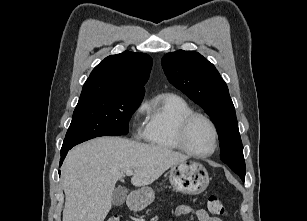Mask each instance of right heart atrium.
Masks as SVG:
<instances>
[{"label": "right heart atrium", "mask_w": 307, "mask_h": 221, "mask_svg": "<svg viewBox=\"0 0 307 221\" xmlns=\"http://www.w3.org/2000/svg\"><path fill=\"white\" fill-rule=\"evenodd\" d=\"M143 109H144V106H140V107H138V108L136 109V111H135V113H134V120H135V121L137 120L138 116L142 113ZM137 135H138V136H142L143 133H142L141 131H139Z\"/></svg>", "instance_id": "obj_1"}]
</instances>
